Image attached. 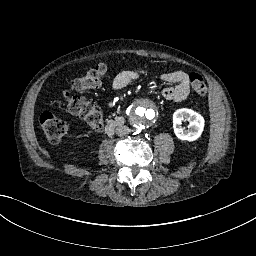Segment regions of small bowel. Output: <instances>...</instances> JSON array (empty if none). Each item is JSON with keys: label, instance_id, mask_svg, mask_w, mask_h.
<instances>
[{"label": "small bowel", "instance_id": "c3829d8e", "mask_svg": "<svg viewBox=\"0 0 256 256\" xmlns=\"http://www.w3.org/2000/svg\"><path fill=\"white\" fill-rule=\"evenodd\" d=\"M137 77V70H123L111 80L110 84L115 90H121L127 87ZM161 79L166 83L174 85L172 87H167L162 90L161 94L165 99L179 102L184 100L188 96L190 92V79L185 72L174 71L164 73L161 76Z\"/></svg>", "mask_w": 256, "mask_h": 256}]
</instances>
